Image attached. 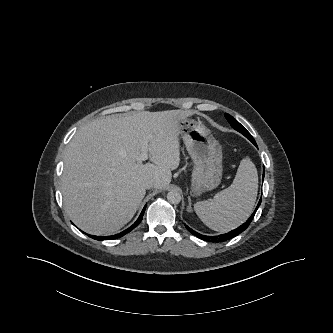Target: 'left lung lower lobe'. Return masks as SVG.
Instances as JSON below:
<instances>
[{"instance_id": "left-lung-lower-lobe-1", "label": "left lung lower lobe", "mask_w": 333, "mask_h": 333, "mask_svg": "<svg viewBox=\"0 0 333 333\" xmlns=\"http://www.w3.org/2000/svg\"><path fill=\"white\" fill-rule=\"evenodd\" d=\"M256 147V142L253 143ZM263 178H264V170H263ZM261 204V199L260 201L258 202V205L255 209V211L253 212V214L250 216V218L245 222L243 223L241 226H239L238 228L228 232V233H225V234H221V235H218V236H206V235H201L199 233H197L196 231L192 230L190 227H188L187 225H185L186 229L188 231H190L193 235L205 240V241H210V242H224V241H227L235 236H237L238 234H240L241 232H243L245 229H247V227L249 226V224L251 223L258 207L260 206Z\"/></svg>"}]
</instances>
